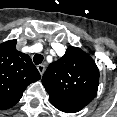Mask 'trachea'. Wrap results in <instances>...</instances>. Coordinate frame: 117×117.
I'll return each mask as SVG.
<instances>
[{
    "mask_svg": "<svg viewBox=\"0 0 117 117\" xmlns=\"http://www.w3.org/2000/svg\"><path fill=\"white\" fill-rule=\"evenodd\" d=\"M43 59H44V57H43V55H41V54H36V55L33 57V61H34V63H35L36 65L41 64L42 61H43Z\"/></svg>",
    "mask_w": 117,
    "mask_h": 117,
    "instance_id": "trachea-1",
    "label": "trachea"
}]
</instances>
